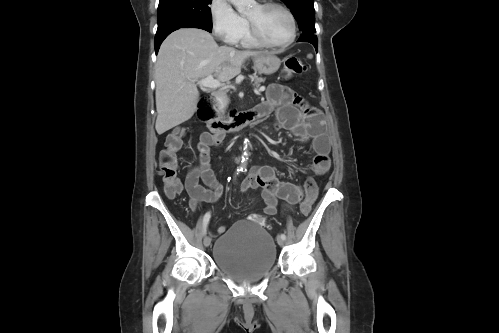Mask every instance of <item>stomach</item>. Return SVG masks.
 <instances>
[{"mask_svg": "<svg viewBox=\"0 0 499 333\" xmlns=\"http://www.w3.org/2000/svg\"><path fill=\"white\" fill-rule=\"evenodd\" d=\"M254 68L258 73L271 75L275 73L281 64L280 59L271 53H263L253 59Z\"/></svg>", "mask_w": 499, "mask_h": 333, "instance_id": "stomach-1", "label": "stomach"}]
</instances>
